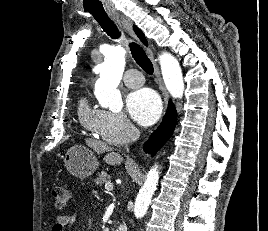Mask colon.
Instances as JSON below:
<instances>
[{
    "label": "colon",
    "instance_id": "colon-1",
    "mask_svg": "<svg viewBox=\"0 0 268 231\" xmlns=\"http://www.w3.org/2000/svg\"><path fill=\"white\" fill-rule=\"evenodd\" d=\"M51 193L57 207L65 209L70 200L69 191L61 186H54L51 189Z\"/></svg>",
    "mask_w": 268,
    "mask_h": 231
}]
</instances>
